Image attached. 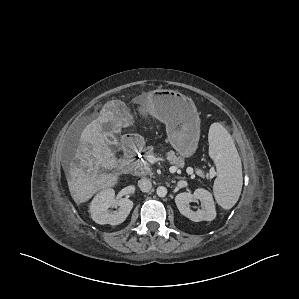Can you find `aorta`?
<instances>
[{
  "label": "aorta",
  "mask_w": 299,
  "mask_h": 299,
  "mask_svg": "<svg viewBox=\"0 0 299 299\" xmlns=\"http://www.w3.org/2000/svg\"><path fill=\"white\" fill-rule=\"evenodd\" d=\"M156 193L159 197H165L167 194V188L164 186H159L156 190Z\"/></svg>",
  "instance_id": "obj_1"
}]
</instances>
